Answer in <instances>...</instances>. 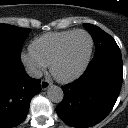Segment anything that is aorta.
I'll return each mask as SVG.
<instances>
[{
  "label": "aorta",
  "mask_w": 128,
  "mask_h": 128,
  "mask_svg": "<svg viewBox=\"0 0 128 128\" xmlns=\"http://www.w3.org/2000/svg\"><path fill=\"white\" fill-rule=\"evenodd\" d=\"M64 93L59 86H50L47 90V98L54 103H60L63 100Z\"/></svg>",
  "instance_id": "1"
}]
</instances>
